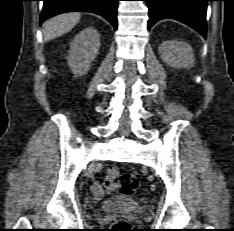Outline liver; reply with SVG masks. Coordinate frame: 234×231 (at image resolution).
Instances as JSON below:
<instances>
[{
	"label": "liver",
	"instance_id": "1",
	"mask_svg": "<svg viewBox=\"0 0 234 231\" xmlns=\"http://www.w3.org/2000/svg\"><path fill=\"white\" fill-rule=\"evenodd\" d=\"M80 13H65L49 19L44 24L43 38L44 41H50L59 37L75 27L80 21Z\"/></svg>",
	"mask_w": 234,
	"mask_h": 231
}]
</instances>
